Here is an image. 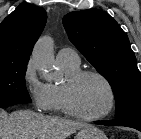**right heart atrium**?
<instances>
[{"mask_svg": "<svg viewBox=\"0 0 141 139\" xmlns=\"http://www.w3.org/2000/svg\"><path fill=\"white\" fill-rule=\"evenodd\" d=\"M25 91L33 106L38 111H48L51 109L48 84L42 82L36 72L33 60H29L22 75Z\"/></svg>", "mask_w": 141, "mask_h": 139, "instance_id": "obj_1", "label": "right heart atrium"}]
</instances>
